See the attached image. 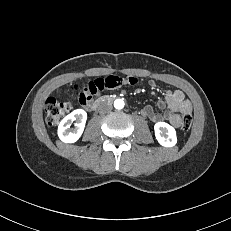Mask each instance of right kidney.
Returning a JSON list of instances; mask_svg holds the SVG:
<instances>
[{"instance_id": "1", "label": "right kidney", "mask_w": 231, "mask_h": 231, "mask_svg": "<svg viewBox=\"0 0 231 231\" xmlns=\"http://www.w3.org/2000/svg\"><path fill=\"white\" fill-rule=\"evenodd\" d=\"M87 120V113L82 109L74 110L62 119L58 126V136L64 143H74L82 135ZM75 128L69 129L73 122Z\"/></svg>"}]
</instances>
